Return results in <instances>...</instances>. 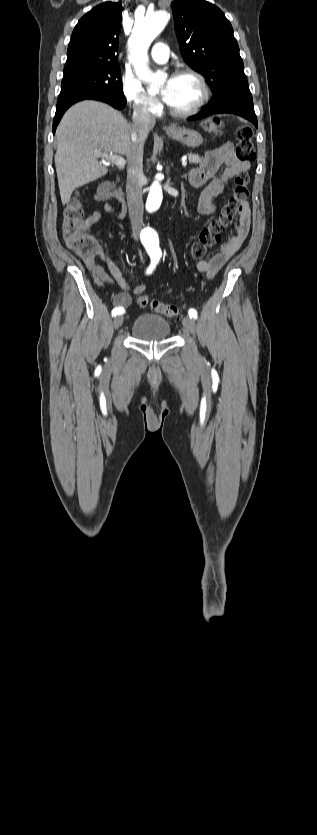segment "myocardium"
<instances>
[{
	"instance_id": "1",
	"label": "myocardium",
	"mask_w": 317,
	"mask_h": 835,
	"mask_svg": "<svg viewBox=\"0 0 317 835\" xmlns=\"http://www.w3.org/2000/svg\"><path fill=\"white\" fill-rule=\"evenodd\" d=\"M181 76H190V77H192L196 80V82L198 83L199 88H200V96H199L198 100L196 101V103L191 108H189L187 110H176V109L172 108L168 103H167V109L172 116H175V117H178V118H187V117H191V116L197 114L203 108V106L207 103V101L209 99L210 90H209V86L207 84V81H206L205 77L201 73H199L198 71H196L192 68H182V69L177 70L174 73L173 78L174 77H181Z\"/></svg>"
}]
</instances>
